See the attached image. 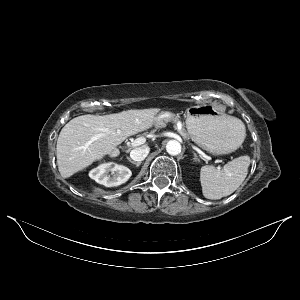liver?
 <instances>
[{
	"label": "liver",
	"instance_id": "6515ba94",
	"mask_svg": "<svg viewBox=\"0 0 300 300\" xmlns=\"http://www.w3.org/2000/svg\"><path fill=\"white\" fill-rule=\"evenodd\" d=\"M157 112L156 109L128 110L73 118L62 128L57 140V165L61 176L71 177L110 154L127 137L151 128Z\"/></svg>",
	"mask_w": 300,
	"mask_h": 300
}]
</instances>
